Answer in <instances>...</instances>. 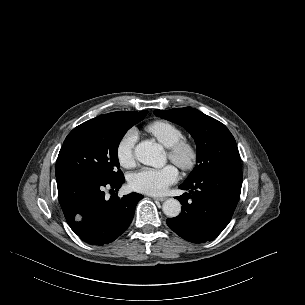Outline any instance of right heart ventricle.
Here are the masks:
<instances>
[{
	"instance_id": "right-heart-ventricle-1",
	"label": "right heart ventricle",
	"mask_w": 305,
	"mask_h": 305,
	"mask_svg": "<svg viewBox=\"0 0 305 305\" xmlns=\"http://www.w3.org/2000/svg\"><path fill=\"white\" fill-rule=\"evenodd\" d=\"M146 131L161 145L169 148L183 139V132L167 121H154L146 126Z\"/></svg>"
}]
</instances>
